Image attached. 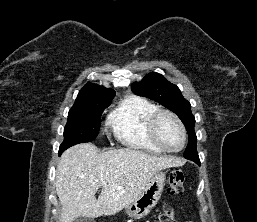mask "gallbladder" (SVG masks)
<instances>
[{"instance_id":"bac80fb5","label":"gallbladder","mask_w":257,"mask_h":222,"mask_svg":"<svg viewBox=\"0 0 257 222\" xmlns=\"http://www.w3.org/2000/svg\"><path fill=\"white\" fill-rule=\"evenodd\" d=\"M73 222H95V221L90 217L80 216V217L76 218Z\"/></svg>"}]
</instances>
